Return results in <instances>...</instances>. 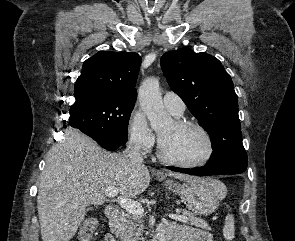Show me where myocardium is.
<instances>
[{"instance_id": "f54148a6", "label": "myocardium", "mask_w": 295, "mask_h": 241, "mask_svg": "<svg viewBox=\"0 0 295 241\" xmlns=\"http://www.w3.org/2000/svg\"><path fill=\"white\" fill-rule=\"evenodd\" d=\"M174 124L178 127H181V128L191 127V128H195L196 130H198L202 134V136L204 137V139L207 143V152H206L205 156L198 161H194V162L178 161V160H175V159L166 155V153L164 152L161 138L159 137L158 149H157L158 158L164 163H167L169 165L176 166L179 168H184V169L199 168V167H202V166L208 164L212 160V158L214 157V154H215V143H214V140H213L211 134L209 133V131L203 125L199 124L198 122L192 121V120L176 119L174 121Z\"/></svg>"}]
</instances>
